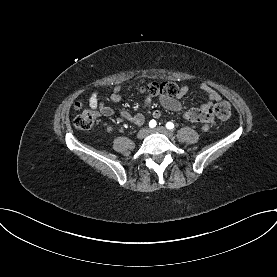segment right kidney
I'll use <instances>...</instances> for the list:
<instances>
[{
  "mask_svg": "<svg viewBox=\"0 0 277 277\" xmlns=\"http://www.w3.org/2000/svg\"><path fill=\"white\" fill-rule=\"evenodd\" d=\"M110 131H112V127L111 126L107 127V132H110Z\"/></svg>",
  "mask_w": 277,
  "mask_h": 277,
  "instance_id": "1",
  "label": "right kidney"
}]
</instances>
